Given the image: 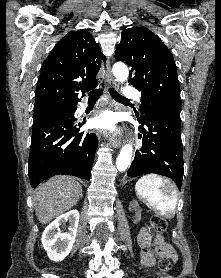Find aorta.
<instances>
[{
  "label": "aorta",
  "mask_w": 221,
  "mask_h": 278,
  "mask_svg": "<svg viewBox=\"0 0 221 278\" xmlns=\"http://www.w3.org/2000/svg\"><path fill=\"white\" fill-rule=\"evenodd\" d=\"M113 75L115 76L116 80L119 82H124L129 75L128 67L122 63L117 62L113 65L112 68ZM133 148L131 144H125L116 160V167L118 171H125L129 166L132 158Z\"/></svg>",
  "instance_id": "762f6f07"
}]
</instances>
